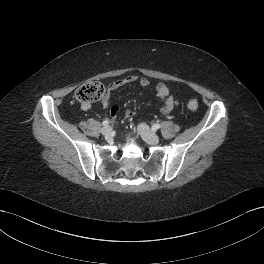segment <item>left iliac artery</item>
Segmentation results:
<instances>
[{"instance_id":"1","label":"left iliac artery","mask_w":264,"mask_h":264,"mask_svg":"<svg viewBox=\"0 0 264 264\" xmlns=\"http://www.w3.org/2000/svg\"><path fill=\"white\" fill-rule=\"evenodd\" d=\"M160 128V124H154L153 126H152V129L153 130H157V129H159Z\"/></svg>"}]
</instances>
